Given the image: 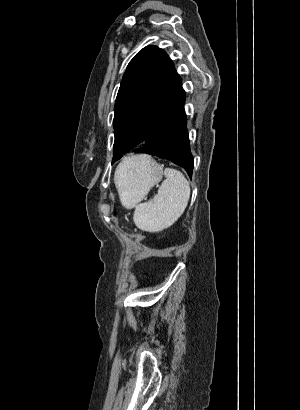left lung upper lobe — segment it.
<instances>
[{
	"instance_id": "1",
	"label": "left lung upper lobe",
	"mask_w": 300,
	"mask_h": 410,
	"mask_svg": "<svg viewBox=\"0 0 300 410\" xmlns=\"http://www.w3.org/2000/svg\"><path fill=\"white\" fill-rule=\"evenodd\" d=\"M184 97L181 78L165 51L156 46L140 50L128 64L115 102L112 163L143 145Z\"/></svg>"
}]
</instances>
